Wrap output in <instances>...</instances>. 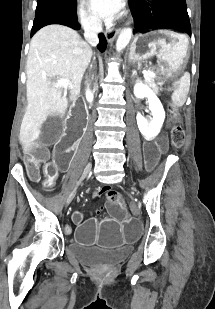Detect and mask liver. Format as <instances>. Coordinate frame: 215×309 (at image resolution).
I'll use <instances>...</instances> for the list:
<instances>
[{
    "label": "liver",
    "mask_w": 215,
    "mask_h": 309,
    "mask_svg": "<svg viewBox=\"0 0 215 309\" xmlns=\"http://www.w3.org/2000/svg\"><path fill=\"white\" fill-rule=\"evenodd\" d=\"M92 54L90 44L69 26L48 24L34 34L26 64L28 104L19 134L25 152L37 144L48 116H64L66 112L68 98L52 78H69L70 100H76Z\"/></svg>",
    "instance_id": "1"
}]
</instances>
